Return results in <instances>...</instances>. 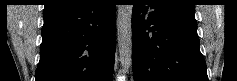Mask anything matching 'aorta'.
Listing matches in <instances>:
<instances>
[{"mask_svg": "<svg viewBox=\"0 0 237 81\" xmlns=\"http://www.w3.org/2000/svg\"><path fill=\"white\" fill-rule=\"evenodd\" d=\"M132 10L133 5H118L117 7L119 59L125 72L129 70L132 63Z\"/></svg>", "mask_w": 237, "mask_h": 81, "instance_id": "1", "label": "aorta"}]
</instances>
